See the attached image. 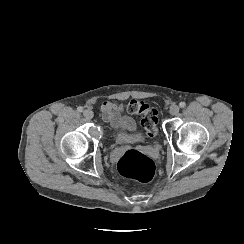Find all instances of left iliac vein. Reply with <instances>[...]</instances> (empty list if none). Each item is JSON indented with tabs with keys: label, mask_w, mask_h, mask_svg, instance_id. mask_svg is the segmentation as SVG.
<instances>
[{
	"label": "left iliac vein",
	"mask_w": 244,
	"mask_h": 244,
	"mask_svg": "<svg viewBox=\"0 0 244 244\" xmlns=\"http://www.w3.org/2000/svg\"><path fill=\"white\" fill-rule=\"evenodd\" d=\"M179 107L177 106V105H172L171 107H170V113L172 114V115H176V114H178L179 113Z\"/></svg>",
	"instance_id": "1"
}]
</instances>
